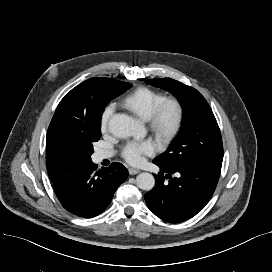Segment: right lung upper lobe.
Instances as JSON below:
<instances>
[{"label":"right lung upper lobe","mask_w":272,"mask_h":272,"mask_svg":"<svg viewBox=\"0 0 272 272\" xmlns=\"http://www.w3.org/2000/svg\"><path fill=\"white\" fill-rule=\"evenodd\" d=\"M113 81L90 78L69 91L59 103L46 139L47 170L53 183L70 175L81 163L71 144V136L98 119L101 98Z\"/></svg>","instance_id":"1"}]
</instances>
